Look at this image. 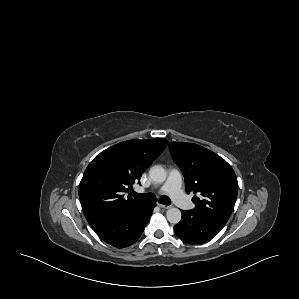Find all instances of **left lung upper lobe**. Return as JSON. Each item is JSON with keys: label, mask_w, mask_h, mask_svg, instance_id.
Listing matches in <instances>:
<instances>
[{"label": "left lung upper lobe", "mask_w": 299, "mask_h": 299, "mask_svg": "<svg viewBox=\"0 0 299 299\" xmlns=\"http://www.w3.org/2000/svg\"><path fill=\"white\" fill-rule=\"evenodd\" d=\"M169 150L185 178L186 192L197 194L192 209L222 228L237 198L238 182L232 167L216 153L193 143L171 142Z\"/></svg>", "instance_id": "obj_1"}]
</instances>
